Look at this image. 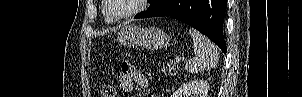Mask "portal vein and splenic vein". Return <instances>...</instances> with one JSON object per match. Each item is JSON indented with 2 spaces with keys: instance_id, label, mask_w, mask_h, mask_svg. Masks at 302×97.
Returning <instances> with one entry per match:
<instances>
[{
  "instance_id": "1",
  "label": "portal vein and splenic vein",
  "mask_w": 302,
  "mask_h": 97,
  "mask_svg": "<svg viewBox=\"0 0 302 97\" xmlns=\"http://www.w3.org/2000/svg\"><path fill=\"white\" fill-rule=\"evenodd\" d=\"M175 61H176V63H179V62L181 61V57L177 56V57L175 58Z\"/></svg>"
}]
</instances>
